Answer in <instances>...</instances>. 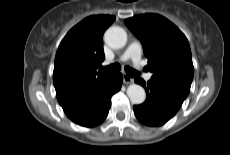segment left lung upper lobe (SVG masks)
Instances as JSON below:
<instances>
[{"label":"left lung upper lobe","instance_id":"5c2ea615","mask_svg":"<svg viewBox=\"0 0 230 155\" xmlns=\"http://www.w3.org/2000/svg\"><path fill=\"white\" fill-rule=\"evenodd\" d=\"M126 26L141 41L148 58L151 81L185 99L194 75L192 55L185 35L158 14L128 18Z\"/></svg>","mask_w":230,"mask_h":155}]
</instances>
